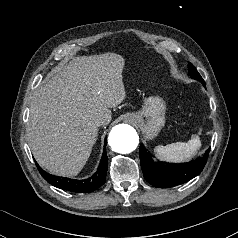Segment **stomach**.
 I'll use <instances>...</instances> for the list:
<instances>
[{
    "mask_svg": "<svg viewBox=\"0 0 238 238\" xmlns=\"http://www.w3.org/2000/svg\"><path fill=\"white\" fill-rule=\"evenodd\" d=\"M166 103L159 96H150L144 100L142 109L128 113L127 117L135 123L146 139L155 138L165 123Z\"/></svg>",
    "mask_w": 238,
    "mask_h": 238,
    "instance_id": "stomach-1",
    "label": "stomach"
}]
</instances>
